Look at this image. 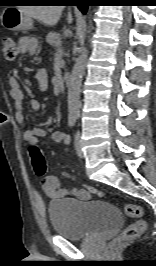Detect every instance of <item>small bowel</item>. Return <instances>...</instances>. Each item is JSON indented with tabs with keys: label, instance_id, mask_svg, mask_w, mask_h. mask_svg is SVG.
<instances>
[{
	"label": "small bowel",
	"instance_id": "c3829d8e",
	"mask_svg": "<svg viewBox=\"0 0 156 266\" xmlns=\"http://www.w3.org/2000/svg\"><path fill=\"white\" fill-rule=\"evenodd\" d=\"M19 51L22 54H34L37 51V42L31 37H22L19 40ZM41 87L46 86V75L43 71H39L36 75ZM9 94L14 102L15 107V120L24 127L25 115H24V93L18 82L14 77L9 79ZM31 107L35 110L40 108L39 102L31 101ZM47 135V131L41 127H33L31 129H25L23 131V139L29 144V146H37L40 139ZM51 139L55 142H62L68 144L69 136L61 131H55L51 134ZM42 187L45 193L49 197L64 198L68 196H75L80 200H88L90 193L85 189L69 188L61 185L59 179L55 176H47L42 182Z\"/></svg>",
	"mask_w": 156,
	"mask_h": 266
}]
</instances>
